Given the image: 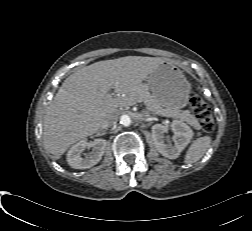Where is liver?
Here are the masks:
<instances>
[{
    "mask_svg": "<svg viewBox=\"0 0 252 231\" xmlns=\"http://www.w3.org/2000/svg\"><path fill=\"white\" fill-rule=\"evenodd\" d=\"M164 62L158 57L126 56L93 63L71 74L46 108L45 148L57 158L77 141L96 133L117 114L119 101H106L111 89L130 95Z\"/></svg>",
    "mask_w": 252,
    "mask_h": 231,
    "instance_id": "1",
    "label": "liver"
}]
</instances>
